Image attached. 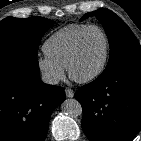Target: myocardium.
Returning <instances> with one entry per match:
<instances>
[{
  "label": "myocardium",
  "mask_w": 141,
  "mask_h": 141,
  "mask_svg": "<svg viewBox=\"0 0 141 141\" xmlns=\"http://www.w3.org/2000/svg\"><path fill=\"white\" fill-rule=\"evenodd\" d=\"M91 30H98L103 35L104 41H105L104 56H103V59H102L100 66L93 73H91L90 75L85 76V77H78L73 72V65H74V63L80 53L82 41H83L85 35ZM109 52H110V41H109V37H108L107 33L105 32V30L97 25H89L77 37L75 44L73 46L72 52L69 56V59L67 62V70H68V74H69L70 78L78 83H81V84H86V83H90V82L94 81L105 70L108 59H109Z\"/></svg>",
  "instance_id": "myocardium-1"
}]
</instances>
